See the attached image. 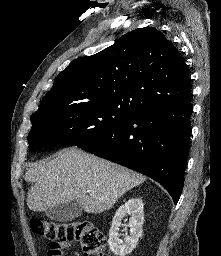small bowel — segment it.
I'll return each instance as SVG.
<instances>
[{"instance_id":"1","label":"small bowel","mask_w":221,"mask_h":256,"mask_svg":"<svg viewBox=\"0 0 221 256\" xmlns=\"http://www.w3.org/2000/svg\"><path fill=\"white\" fill-rule=\"evenodd\" d=\"M48 256H62V254L61 253H59V254H51L50 252H48Z\"/></svg>"}]
</instances>
